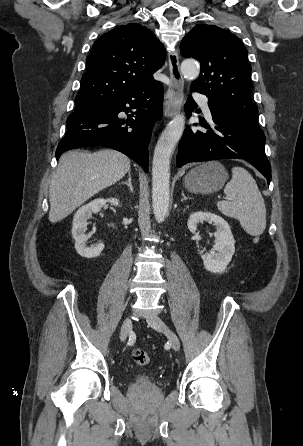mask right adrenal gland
<instances>
[{"label": "right adrenal gland", "instance_id": "2a0ac1e0", "mask_svg": "<svg viewBox=\"0 0 303 446\" xmlns=\"http://www.w3.org/2000/svg\"><path fill=\"white\" fill-rule=\"evenodd\" d=\"M121 184L126 185L130 191L133 193L134 189H133V185H132V178H131V171H128V181H122Z\"/></svg>", "mask_w": 303, "mask_h": 446}]
</instances>
